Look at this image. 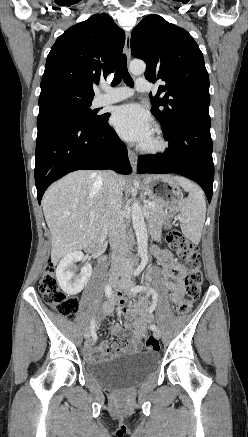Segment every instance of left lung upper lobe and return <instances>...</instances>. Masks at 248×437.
I'll return each instance as SVG.
<instances>
[{"label":"left lung upper lobe","mask_w":248,"mask_h":437,"mask_svg":"<svg viewBox=\"0 0 248 437\" xmlns=\"http://www.w3.org/2000/svg\"><path fill=\"white\" fill-rule=\"evenodd\" d=\"M131 51L146 63L151 82L162 80L151 112L170 132L184 118L209 116V77L197 43L184 29L148 15L133 29Z\"/></svg>","instance_id":"left-lung-upper-lobe-1"}]
</instances>
